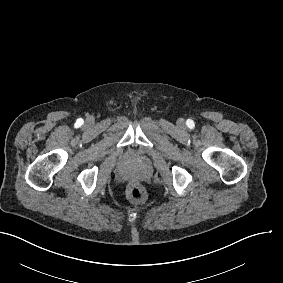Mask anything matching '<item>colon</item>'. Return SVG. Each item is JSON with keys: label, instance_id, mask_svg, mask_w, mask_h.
I'll return each mask as SVG.
<instances>
[{"label": "colon", "instance_id": "colon-1", "mask_svg": "<svg viewBox=\"0 0 283 283\" xmlns=\"http://www.w3.org/2000/svg\"><path fill=\"white\" fill-rule=\"evenodd\" d=\"M146 191L144 187L134 184L129 188V197L136 203H141L146 199Z\"/></svg>", "mask_w": 283, "mask_h": 283}]
</instances>
